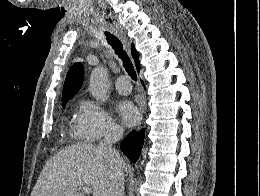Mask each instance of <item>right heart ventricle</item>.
<instances>
[{"label":"right heart ventricle","mask_w":260,"mask_h":196,"mask_svg":"<svg viewBox=\"0 0 260 196\" xmlns=\"http://www.w3.org/2000/svg\"><path fill=\"white\" fill-rule=\"evenodd\" d=\"M50 192H53V190H50ZM55 192H77V191L76 190H64V191L55 190Z\"/></svg>","instance_id":"obj_1"}]
</instances>
